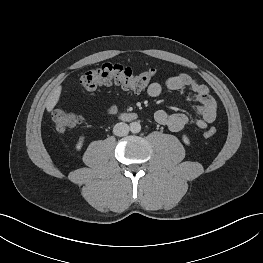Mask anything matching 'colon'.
<instances>
[{"label": "colon", "mask_w": 263, "mask_h": 263, "mask_svg": "<svg viewBox=\"0 0 263 263\" xmlns=\"http://www.w3.org/2000/svg\"><path fill=\"white\" fill-rule=\"evenodd\" d=\"M154 76V70L144 69L136 72L130 67L117 63H105L90 68L84 72L79 83L85 90H94L103 85H119L123 88L140 91L148 86ZM52 120L57 131H67L81 122V117L65 108L55 109ZM215 127L206 130L205 136L212 137L216 134Z\"/></svg>", "instance_id": "1"}]
</instances>
